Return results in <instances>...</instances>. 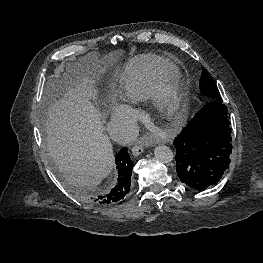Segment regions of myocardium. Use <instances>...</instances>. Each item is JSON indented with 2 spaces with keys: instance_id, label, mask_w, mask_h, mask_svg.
I'll return each mask as SVG.
<instances>
[{
  "instance_id": "myocardium-1",
  "label": "myocardium",
  "mask_w": 263,
  "mask_h": 263,
  "mask_svg": "<svg viewBox=\"0 0 263 263\" xmlns=\"http://www.w3.org/2000/svg\"><path fill=\"white\" fill-rule=\"evenodd\" d=\"M185 100L186 89L177 74L158 80L150 95L155 114L168 123H174L180 118Z\"/></svg>"
}]
</instances>
